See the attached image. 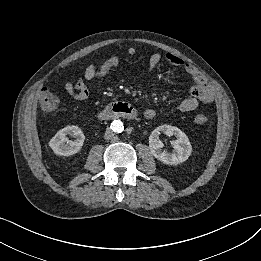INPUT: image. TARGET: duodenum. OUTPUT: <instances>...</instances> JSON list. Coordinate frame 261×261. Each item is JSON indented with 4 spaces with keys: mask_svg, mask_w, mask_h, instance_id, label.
Listing matches in <instances>:
<instances>
[{
    "mask_svg": "<svg viewBox=\"0 0 261 261\" xmlns=\"http://www.w3.org/2000/svg\"><path fill=\"white\" fill-rule=\"evenodd\" d=\"M136 115V110L129 103L122 101L113 103L97 114L101 120H114L118 118L133 119Z\"/></svg>",
    "mask_w": 261,
    "mask_h": 261,
    "instance_id": "obj_1",
    "label": "duodenum"
}]
</instances>
